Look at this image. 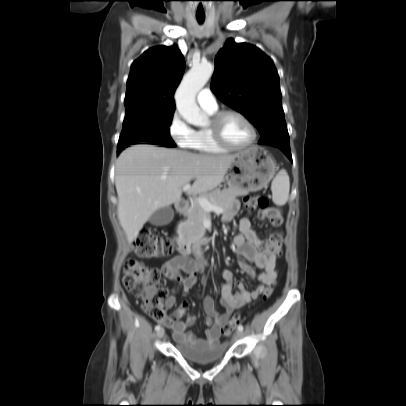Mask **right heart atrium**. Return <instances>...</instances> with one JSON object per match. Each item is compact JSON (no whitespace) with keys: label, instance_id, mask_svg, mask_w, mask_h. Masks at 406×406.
Returning a JSON list of instances; mask_svg holds the SVG:
<instances>
[{"label":"right heart atrium","instance_id":"d8ad5b80","mask_svg":"<svg viewBox=\"0 0 406 406\" xmlns=\"http://www.w3.org/2000/svg\"><path fill=\"white\" fill-rule=\"evenodd\" d=\"M169 133L175 143L183 148H189L195 130L187 123L179 111H174L169 122Z\"/></svg>","mask_w":406,"mask_h":406}]
</instances>
